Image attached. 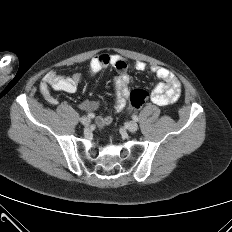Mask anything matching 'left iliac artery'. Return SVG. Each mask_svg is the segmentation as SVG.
Instances as JSON below:
<instances>
[{
	"instance_id": "1",
	"label": "left iliac artery",
	"mask_w": 232,
	"mask_h": 232,
	"mask_svg": "<svg viewBox=\"0 0 232 232\" xmlns=\"http://www.w3.org/2000/svg\"><path fill=\"white\" fill-rule=\"evenodd\" d=\"M132 118H133L134 121H136V122L138 121V117L136 115H133Z\"/></svg>"
}]
</instances>
